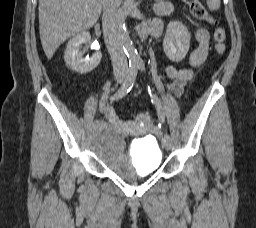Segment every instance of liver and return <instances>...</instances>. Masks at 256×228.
I'll return each mask as SVG.
<instances>
[{"instance_id":"liver-1","label":"liver","mask_w":256,"mask_h":228,"mask_svg":"<svg viewBox=\"0 0 256 228\" xmlns=\"http://www.w3.org/2000/svg\"><path fill=\"white\" fill-rule=\"evenodd\" d=\"M103 0H39V31L46 57L52 59L68 38L93 27Z\"/></svg>"}]
</instances>
